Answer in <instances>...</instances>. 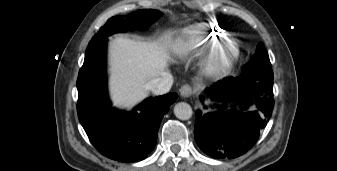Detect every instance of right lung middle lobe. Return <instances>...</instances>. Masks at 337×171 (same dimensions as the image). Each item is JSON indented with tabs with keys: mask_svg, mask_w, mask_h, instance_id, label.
Returning a JSON list of instances; mask_svg holds the SVG:
<instances>
[{
	"mask_svg": "<svg viewBox=\"0 0 337 171\" xmlns=\"http://www.w3.org/2000/svg\"><path fill=\"white\" fill-rule=\"evenodd\" d=\"M161 16L162 13L157 10L142 9L132 12L126 16L112 17L103 27L100 28L99 32L95 34L91 42H93L98 37H107L113 33L145 28L150 26Z\"/></svg>",
	"mask_w": 337,
	"mask_h": 171,
	"instance_id": "dd1d6c3e",
	"label": "right lung middle lobe"
}]
</instances>
